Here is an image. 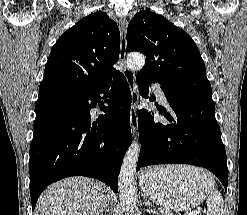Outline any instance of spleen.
Masks as SVG:
<instances>
[{
	"mask_svg": "<svg viewBox=\"0 0 247 215\" xmlns=\"http://www.w3.org/2000/svg\"><path fill=\"white\" fill-rule=\"evenodd\" d=\"M207 198V215H223V197L218 190H212L208 193Z\"/></svg>",
	"mask_w": 247,
	"mask_h": 215,
	"instance_id": "obj_1",
	"label": "spleen"
}]
</instances>
